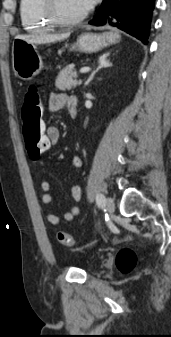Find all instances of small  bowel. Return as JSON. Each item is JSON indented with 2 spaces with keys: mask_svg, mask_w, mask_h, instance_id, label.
Wrapping results in <instances>:
<instances>
[{
  "mask_svg": "<svg viewBox=\"0 0 171 337\" xmlns=\"http://www.w3.org/2000/svg\"><path fill=\"white\" fill-rule=\"evenodd\" d=\"M77 103V98L74 96H66L65 94L53 93L48 98L47 110L48 112H57L66 107L68 109L71 103ZM46 138L51 141V145H56L60 139L59 128L53 125L46 127ZM70 164L73 168H80L83 165V159L80 156H73L71 158ZM40 188L43 191L42 202L49 204L52 200L49 194L50 183L43 180L40 183ZM71 197L74 202H79L82 197L81 188L77 184H73L70 188ZM80 213V208L78 206H72L69 211L64 214V219L66 221H72ZM46 220L49 224L57 226L59 224V217L54 213H48L46 215Z\"/></svg>",
  "mask_w": 171,
  "mask_h": 337,
  "instance_id": "small-bowel-1",
  "label": "small bowel"
}]
</instances>
